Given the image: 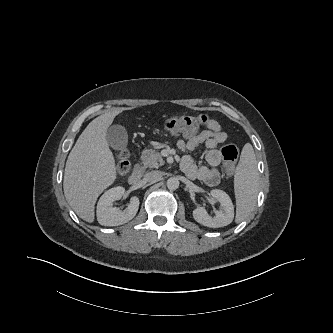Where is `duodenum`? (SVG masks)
I'll use <instances>...</instances> for the list:
<instances>
[{
  "label": "duodenum",
  "mask_w": 333,
  "mask_h": 333,
  "mask_svg": "<svg viewBox=\"0 0 333 333\" xmlns=\"http://www.w3.org/2000/svg\"><path fill=\"white\" fill-rule=\"evenodd\" d=\"M143 175L142 167H137L134 172L129 176L128 183L130 185H136L139 183L141 177Z\"/></svg>",
  "instance_id": "410a0bca"
}]
</instances>
